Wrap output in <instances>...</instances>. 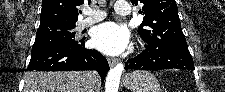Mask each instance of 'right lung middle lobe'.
<instances>
[{"label": "right lung middle lobe", "mask_w": 225, "mask_h": 92, "mask_svg": "<svg viewBox=\"0 0 225 92\" xmlns=\"http://www.w3.org/2000/svg\"><path fill=\"white\" fill-rule=\"evenodd\" d=\"M75 23H49L40 25L37 33L36 39L33 44V48L55 44V43H70L75 41L74 37L76 32H74Z\"/></svg>", "instance_id": "obj_1"}]
</instances>
